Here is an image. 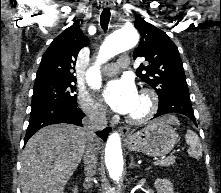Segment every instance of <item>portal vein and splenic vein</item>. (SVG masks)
I'll return each instance as SVG.
<instances>
[{
  "instance_id": "portal-vein-and-splenic-vein-1",
  "label": "portal vein and splenic vein",
  "mask_w": 221,
  "mask_h": 193,
  "mask_svg": "<svg viewBox=\"0 0 221 193\" xmlns=\"http://www.w3.org/2000/svg\"><path fill=\"white\" fill-rule=\"evenodd\" d=\"M167 158L166 157H162L160 159H158L157 161L153 162L154 165H157L159 162L165 161Z\"/></svg>"
}]
</instances>
